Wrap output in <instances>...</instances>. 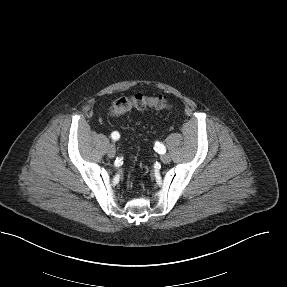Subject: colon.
<instances>
[{"label": "colon", "mask_w": 287, "mask_h": 287, "mask_svg": "<svg viewBox=\"0 0 287 287\" xmlns=\"http://www.w3.org/2000/svg\"><path fill=\"white\" fill-rule=\"evenodd\" d=\"M170 105V100L166 96H146L143 94H135L115 99L111 104L110 113L115 117H119L131 109H168Z\"/></svg>", "instance_id": "1"}]
</instances>
